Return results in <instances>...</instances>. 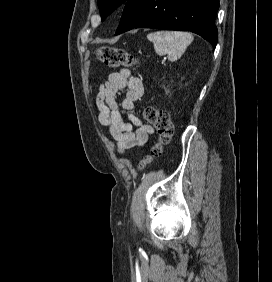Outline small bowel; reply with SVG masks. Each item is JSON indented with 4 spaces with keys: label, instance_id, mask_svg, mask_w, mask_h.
<instances>
[{
    "label": "small bowel",
    "instance_id": "1",
    "mask_svg": "<svg viewBox=\"0 0 272 282\" xmlns=\"http://www.w3.org/2000/svg\"><path fill=\"white\" fill-rule=\"evenodd\" d=\"M120 90H125V97L118 103L117 93ZM143 90L142 80L126 69L110 73L98 87V121L109 129L120 150L143 145L153 133L152 126L143 125L136 115L130 113ZM125 113L127 122L123 119Z\"/></svg>",
    "mask_w": 272,
    "mask_h": 282
}]
</instances>
